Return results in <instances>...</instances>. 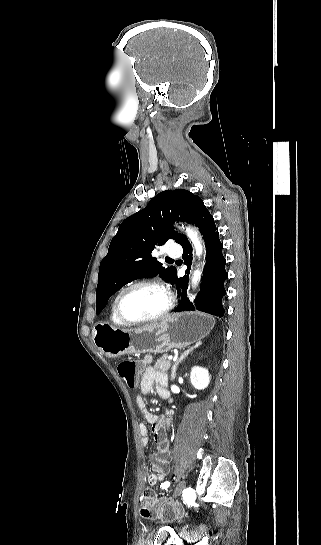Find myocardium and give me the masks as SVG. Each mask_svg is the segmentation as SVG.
Wrapping results in <instances>:
<instances>
[{
    "instance_id": "f54148a6",
    "label": "myocardium",
    "mask_w": 321,
    "mask_h": 545,
    "mask_svg": "<svg viewBox=\"0 0 321 545\" xmlns=\"http://www.w3.org/2000/svg\"><path fill=\"white\" fill-rule=\"evenodd\" d=\"M136 288H150V289H155V290L161 291L162 293L165 294V296L167 298L166 308L161 313H159L158 315H155V316L150 317V318H146V319L138 320V321L128 320L123 315V313L121 311V299H122V297L124 296L125 293H127L130 290L136 289ZM174 306H175V299H174V295H173L172 291L167 286H165L163 283H160V282H157V281H138V282L132 283V284L126 286L125 288H123L117 294V296L115 298L116 316L124 326H129V327H138V326H143V325H147V324H151V323L161 321L166 316L169 315V313L173 310Z\"/></svg>"
}]
</instances>
